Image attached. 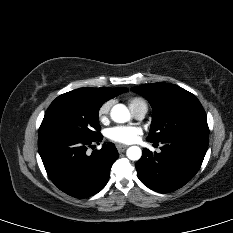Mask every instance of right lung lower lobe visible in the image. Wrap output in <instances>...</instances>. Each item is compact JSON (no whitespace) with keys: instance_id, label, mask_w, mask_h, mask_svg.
I'll use <instances>...</instances> for the list:
<instances>
[{"instance_id":"1","label":"right lung lower lobe","mask_w":233,"mask_h":233,"mask_svg":"<svg viewBox=\"0 0 233 233\" xmlns=\"http://www.w3.org/2000/svg\"><path fill=\"white\" fill-rule=\"evenodd\" d=\"M100 135L86 139L64 134L38 137V150L51 181L63 192L75 198H87L98 193L109 180L112 164L118 158L113 143L86 155L87 147L101 141Z\"/></svg>"}]
</instances>
